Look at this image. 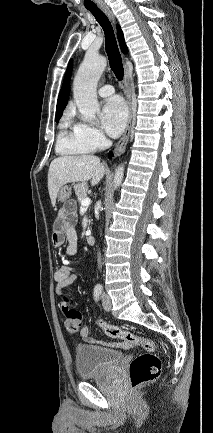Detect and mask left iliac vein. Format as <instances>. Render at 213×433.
<instances>
[{
  "instance_id": "obj_1",
  "label": "left iliac vein",
  "mask_w": 213,
  "mask_h": 433,
  "mask_svg": "<svg viewBox=\"0 0 213 433\" xmlns=\"http://www.w3.org/2000/svg\"><path fill=\"white\" fill-rule=\"evenodd\" d=\"M102 304H103V308L106 311H110L112 308V302L111 299L109 297V295H107L106 293L103 294L102 296Z\"/></svg>"
}]
</instances>
